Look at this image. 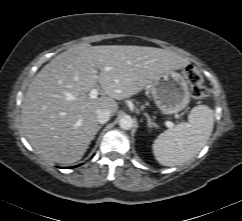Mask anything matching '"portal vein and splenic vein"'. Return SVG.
<instances>
[{
    "label": "portal vein and splenic vein",
    "mask_w": 242,
    "mask_h": 221,
    "mask_svg": "<svg viewBox=\"0 0 242 221\" xmlns=\"http://www.w3.org/2000/svg\"><path fill=\"white\" fill-rule=\"evenodd\" d=\"M106 70H109L108 68H106ZM99 94V91L97 88H94L92 89L90 92H89V97L94 99V98H97V95ZM166 126L167 127H172L173 126V123L171 121H167L166 122Z\"/></svg>",
    "instance_id": "portal-vein-and-splenic-vein-1"
}]
</instances>
